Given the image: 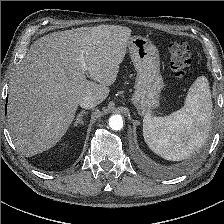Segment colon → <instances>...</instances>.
Listing matches in <instances>:
<instances>
[{"label": "colon", "instance_id": "obj_1", "mask_svg": "<svg viewBox=\"0 0 224 224\" xmlns=\"http://www.w3.org/2000/svg\"><path fill=\"white\" fill-rule=\"evenodd\" d=\"M167 48L170 54V68L174 76L177 79H183L192 63L188 44L185 42H170Z\"/></svg>", "mask_w": 224, "mask_h": 224}]
</instances>
